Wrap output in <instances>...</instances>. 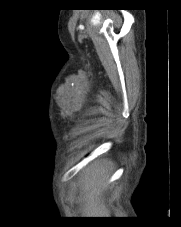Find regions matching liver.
Listing matches in <instances>:
<instances>
[{
  "instance_id": "liver-1",
  "label": "liver",
  "mask_w": 181,
  "mask_h": 227,
  "mask_svg": "<svg viewBox=\"0 0 181 227\" xmlns=\"http://www.w3.org/2000/svg\"><path fill=\"white\" fill-rule=\"evenodd\" d=\"M108 177L109 174L105 165L95 162L91 167L84 171V179L82 181L84 193L89 194L95 192L105 183ZM99 195L100 193L96 192L95 194H91L89 198L85 200L82 215H98L85 217H106L103 215H108V210L99 201Z\"/></svg>"
}]
</instances>
